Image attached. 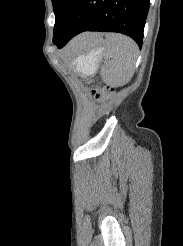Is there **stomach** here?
<instances>
[{
    "mask_svg": "<svg viewBox=\"0 0 183 246\" xmlns=\"http://www.w3.org/2000/svg\"><path fill=\"white\" fill-rule=\"evenodd\" d=\"M85 49L88 50L78 55L73 61L75 71L83 74L94 73L105 53V49L102 46V41L90 45Z\"/></svg>",
    "mask_w": 183,
    "mask_h": 246,
    "instance_id": "0dacf381",
    "label": "stomach"
}]
</instances>
